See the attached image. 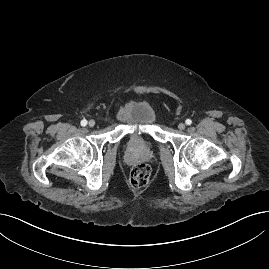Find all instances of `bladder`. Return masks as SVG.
<instances>
[{
	"mask_svg": "<svg viewBox=\"0 0 269 269\" xmlns=\"http://www.w3.org/2000/svg\"><path fill=\"white\" fill-rule=\"evenodd\" d=\"M125 128L133 133L150 130L156 121L153 107L146 101L128 103L120 112Z\"/></svg>",
	"mask_w": 269,
	"mask_h": 269,
	"instance_id": "obj_1",
	"label": "bladder"
}]
</instances>
